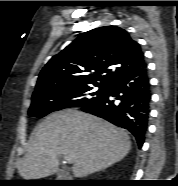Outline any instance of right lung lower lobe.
Listing matches in <instances>:
<instances>
[{
  "label": "right lung lower lobe",
  "mask_w": 178,
  "mask_h": 186,
  "mask_svg": "<svg viewBox=\"0 0 178 186\" xmlns=\"http://www.w3.org/2000/svg\"><path fill=\"white\" fill-rule=\"evenodd\" d=\"M150 83L147 64L127 70L108 84L106 92L82 110L125 128L142 147L150 113Z\"/></svg>",
  "instance_id": "right-lung-lower-lobe-1"
}]
</instances>
